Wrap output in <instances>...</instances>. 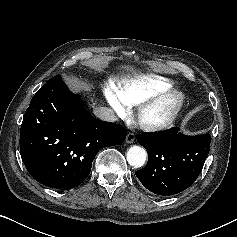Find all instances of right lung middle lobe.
Segmentation results:
<instances>
[{
    "instance_id": "dd1d6c3e",
    "label": "right lung middle lobe",
    "mask_w": 237,
    "mask_h": 237,
    "mask_svg": "<svg viewBox=\"0 0 237 237\" xmlns=\"http://www.w3.org/2000/svg\"><path fill=\"white\" fill-rule=\"evenodd\" d=\"M61 79L60 75H56L55 77L51 78V80Z\"/></svg>"
}]
</instances>
